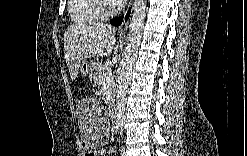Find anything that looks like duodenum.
<instances>
[{
    "label": "duodenum",
    "mask_w": 247,
    "mask_h": 156,
    "mask_svg": "<svg viewBox=\"0 0 247 156\" xmlns=\"http://www.w3.org/2000/svg\"><path fill=\"white\" fill-rule=\"evenodd\" d=\"M109 115H110L111 119H115L116 102H115V98L113 96H111L109 98Z\"/></svg>",
    "instance_id": "1"
}]
</instances>
